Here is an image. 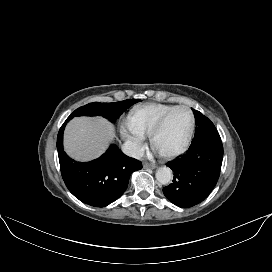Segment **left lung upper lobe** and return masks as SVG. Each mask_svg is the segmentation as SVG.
I'll use <instances>...</instances> for the list:
<instances>
[{
	"instance_id": "5c2ea615",
	"label": "left lung upper lobe",
	"mask_w": 272,
	"mask_h": 272,
	"mask_svg": "<svg viewBox=\"0 0 272 272\" xmlns=\"http://www.w3.org/2000/svg\"><path fill=\"white\" fill-rule=\"evenodd\" d=\"M192 110L196 119V129L193 140L199 139L213 131H216L214 124L206 116L197 110Z\"/></svg>"
}]
</instances>
